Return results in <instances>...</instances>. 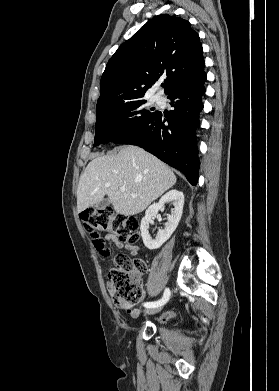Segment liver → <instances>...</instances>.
<instances>
[{"mask_svg":"<svg viewBox=\"0 0 279 391\" xmlns=\"http://www.w3.org/2000/svg\"><path fill=\"white\" fill-rule=\"evenodd\" d=\"M176 180L169 167L149 152L124 146L118 153L97 156L89 162L79 180L77 209L82 212L107 195L117 214L136 215L174 186ZM120 187H125V192Z\"/></svg>","mask_w":279,"mask_h":391,"instance_id":"6515ba94","label":"liver"}]
</instances>
